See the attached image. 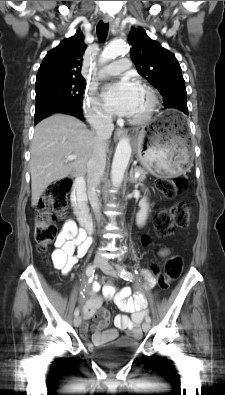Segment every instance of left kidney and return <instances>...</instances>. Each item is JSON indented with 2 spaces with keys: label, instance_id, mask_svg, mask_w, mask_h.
Segmentation results:
<instances>
[{
  "label": "left kidney",
  "instance_id": "left-kidney-1",
  "mask_svg": "<svg viewBox=\"0 0 225 395\" xmlns=\"http://www.w3.org/2000/svg\"><path fill=\"white\" fill-rule=\"evenodd\" d=\"M139 207H140V210L136 215V223L139 227H141L145 224L147 216H148L149 204H148L146 198H143L139 202Z\"/></svg>",
  "mask_w": 225,
  "mask_h": 395
}]
</instances>
